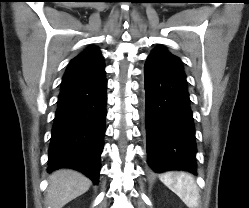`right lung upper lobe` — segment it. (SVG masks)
<instances>
[{
    "instance_id": "1",
    "label": "right lung upper lobe",
    "mask_w": 249,
    "mask_h": 208,
    "mask_svg": "<svg viewBox=\"0 0 249 208\" xmlns=\"http://www.w3.org/2000/svg\"><path fill=\"white\" fill-rule=\"evenodd\" d=\"M103 73V56L98 48L91 46L70 61L62 79L61 90L93 80Z\"/></svg>"
}]
</instances>
